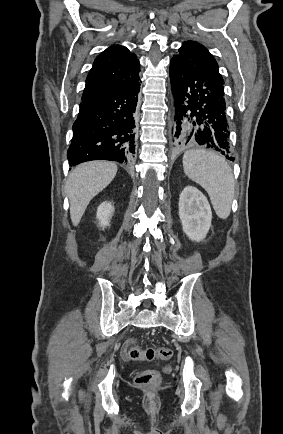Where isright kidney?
I'll use <instances>...</instances> for the list:
<instances>
[{
  "label": "right kidney",
  "mask_w": 283,
  "mask_h": 434,
  "mask_svg": "<svg viewBox=\"0 0 283 434\" xmlns=\"http://www.w3.org/2000/svg\"><path fill=\"white\" fill-rule=\"evenodd\" d=\"M114 212V207L110 202H103L99 205L97 209V219L99 220V226L106 227L109 226L110 218Z\"/></svg>",
  "instance_id": "ca27d5eb"
}]
</instances>
